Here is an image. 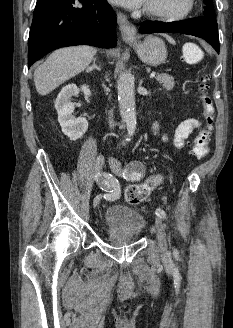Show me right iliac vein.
Returning a JSON list of instances; mask_svg holds the SVG:
<instances>
[{"instance_id":"63e3f726","label":"right iliac vein","mask_w":233,"mask_h":328,"mask_svg":"<svg viewBox=\"0 0 233 328\" xmlns=\"http://www.w3.org/2000/svg\"><path fill=\"white\" fill-rule=\"evenodd\" d=\"M104 165V156L102 154H99L96 159H95V164H94V168H95V172H96V177L97 180H99L100 182V178H101V171ZM101 184V182L99 183ZM101 197L100 196H96L93 200V206L96 207L99 202H100Z\"/></svg>"}]
</instances>
